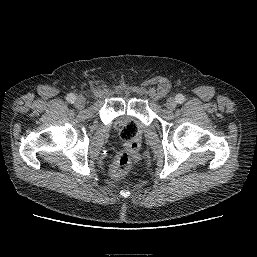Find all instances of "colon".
I'll return each instance as SVG.
<instances>
[{
	"label": "colon",
	"mask_w": 257,
	"mask_h": 257,
	"mask_svg": "<svg viewBox=\"0 0 257 257\" xmlns=\"http://www.w3.org/2000/svg\"><path fill=\"white\" fill-rule=\"evenodd\" d=\"M116 127L122 139L125 141V147L118 153L112 166V174L116 177L124 175L132 163L138 159V125L135 121H119Z\"/></svg>",
	"instance_id": "1"
}]
</instances>
